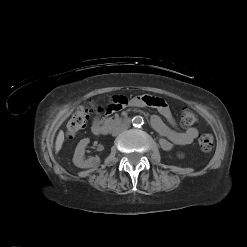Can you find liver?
<instances>
[{"label": "liver", "mask_w": 247, "mask_h": 247, "mask_svg": "<svg viewBox=\"0 0 247 247\" xmlns=\"http://www.w3.org/2000/svg\"><path fill=\"white\" fill-rule=\"evenodd\" d=\"M63 142H64V132L60 130L55 141L56 153H58L61 150Z\"/></svg>", "instance_id": "liver-1"}]
</instances>
